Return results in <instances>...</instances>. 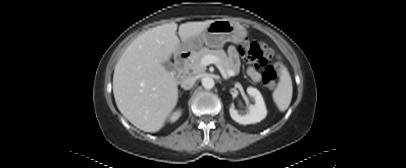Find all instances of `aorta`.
Masks as SVG:
<instances>
[{
  "label": "aorta",
  "instance_id": "aorta-1",
  "mask_svg": "<svg viewBox=\"0 0 406 168\" xmlns=\"http://www.w3.org/2000/svg\"><path fill=\"white\" fill-rule=\"evenodd\" d=\"M214 84V80L211 77L202 78V85L205 89H212Z\"/></svg>",
  "mask_w": 406,
  "mask_h": 168
}]
</instances>
